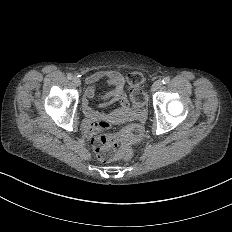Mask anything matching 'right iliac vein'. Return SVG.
I'll list each match as a JSON object with an SVG mask.
<instances>
[{"label": "right iliac vein", "mask_w": 232, "mask_h": 232, "mask_svg": "<svg viewBox=\"0 0 232 232\" xmlns=\"http://www.w3.org/2000/svg\"><path fill=\"white\" fill-rule=\"evenodd\" d=\"M73 81H74V84L77 85V86H80L81 84V79L78 77V76H75L73 78Z\"/></svg>", "instance_id": "right-iliac-vein-1"}]
</instances>
